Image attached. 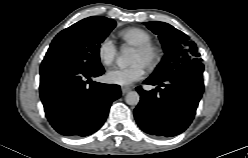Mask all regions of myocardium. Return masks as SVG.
Returning a JSON list of instances; mask_svg holds the SVG:
<instances>
[{
	"label": "myocardium",
	"mask_w": 248,
	"mask_h": 158,
	"mask_svg": "<svg viewBox=\"0 0 248 158\" xmlns=\"http://www.w3.org/2000/svg\"><path fill=\"white\" fill-rule=\"evenodd\" d=\"M136 50L145 56V66L148 69H154L161 61V50L158 46L152 43L137 46Z\"/></svg>",
	"instance_id": "f54148a6"
}]
</instances>
